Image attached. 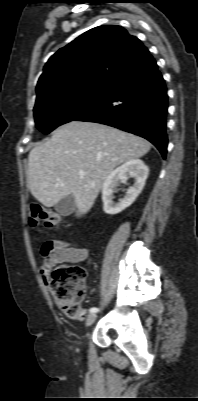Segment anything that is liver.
<instances>
[{
  "mask_svg": "<svg viewBox=\"0 0 198 401\" xmlns=\"http://www.w3.org/2000/svg\"><path fill=\"white\" fill-rule=\"evenodd\" d=\"M149 150L150 143L142 137L99 123L71 121L30 151L27 185L46 207L73 195L79 217L91 209L117 166Z\"/></svg>",
  "mask_w": 198,
  "mask_h": 401,
  "instance_id": "6515ba94",
  "label": "liver"
}]
</instances>
